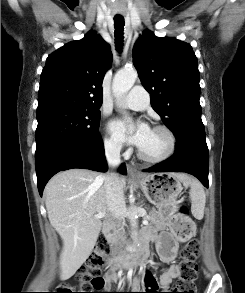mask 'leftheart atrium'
<instances>
[{"label":"left heart atrium","mask_w":245,"mask_h":293,"mask_svg":"<svg viewBox=\"0 0 245 293\" xmlns=\"http://www.w3.org/2000/svg\"><path fill=\"white\" fill-rule=\"evenodd\" d=\"M130 122L126 120H114L110 124V131L120 141L131 143L137 147H142L150 134V127L145 123H140L130 130Z\"/></svg>","instance_id":"obj_1"}]
</instances>
